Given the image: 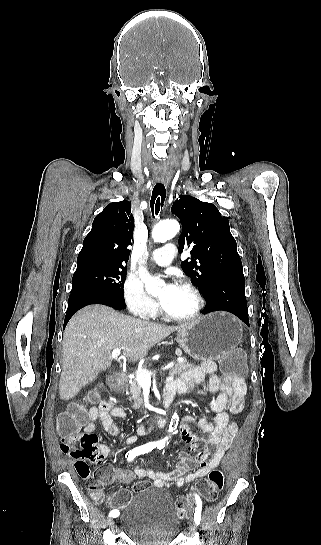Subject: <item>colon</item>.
<instances>
[{
    "instance_id": "obj_1",
    "label": "colon",
    "mask_w": 321,
    "mask_h": 545,
    "mask_svg": "<svg viewBox=\"0 0 321 545\" xmlns=\"http://www.w3.org/2000/svg\"><path fill=\"white\" fill-rule=\"evenodd\" d=\"M222 372L233 378H244L246 365L240 352H231L220 360ZM98 394L93 391L88 394L87 402L97 401ZM88 420V409L85 404L73 403L57 419V432L61 438V451L79 460L92 458L97 455V436L92 433H83L82 427ZM80 466V465H79ZM86 480L89 495L96 502L103 500V484L106 474L97 471L90 475L81 466L80 474ZM224 485V475L220 470H212L206 477L201 478L190 494L176 500V511L179 519H188L193 511L196 497L207 502L216 500ZM147 481L137 482L132 491L123 489L109 498L108 504L115 510L123 509L130 501L132 492L149 488Z\"/></svg>"
}]
</instances>
